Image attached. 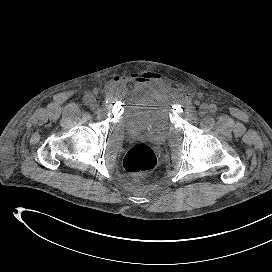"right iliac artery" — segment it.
I'll return each mask as SVG.
<instances>
[{"instance_id":"1","label":"right iliac artery","mask_w":272,"mask_h":272,"mask_svg":"<svg viewBox=\"0 0 272 272\" xmlns=\"http://www.w3.org/2000/svg\"><path fill=\"white\" fill-rule=\"evenodd\" d=\"M83 101L86 105L89 104L90 103V96L89 95L84 96Z\"/></svg>"}]
</instances>
